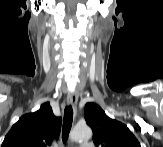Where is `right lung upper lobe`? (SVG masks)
Segmentation results:
<instances>
[{"label": "right lung upper lobe", "mask_w": 163, "mask_h": 147, "mask_svg": "<svg viewBox=\"0 0 163 147\" xmlns=\"http://www.w3.org/2000/svg\"><path fill=\"white\" fill-rule=\"evenodd\" d=\"M62 119L53 114L50 103L23 115L6 135L2 147H47L60 133Z\"/></svg>", "instance_id": "1"}]
</instances>
